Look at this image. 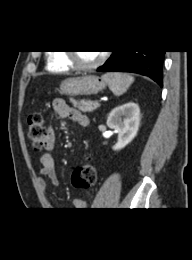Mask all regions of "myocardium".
Listing matches in <instances>:
<instances>
[{
	"label": "myocardium",
	"mask_w": 192,
	"mask_h": 260,
	"mask_svg": "<svg viewBox=\"0 0 192 260\" xmlns=\"http://www.w3.org/2000/svg\"><path fill=\"white\" fill-rule=\"evenodd\" d=\"M65 56L67 61L71 64L73 68L80 71H91L98 68L105 62L107 58V53H103L102 55H100V57L91 64H82L77 58V53L74 51H67L65 53Z\"/></svg>",
	"instance_id": "obj_1"
}]
</instances>
